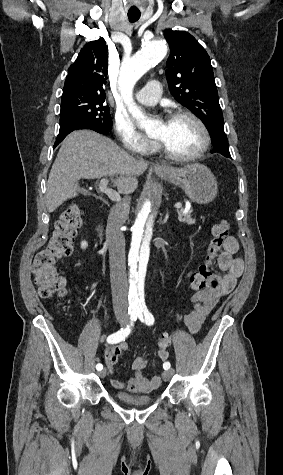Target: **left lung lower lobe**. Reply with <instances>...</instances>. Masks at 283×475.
Here are the masks:
<instances>
[{
  "mask_svg": "<svg viewBox=\"0 0 283 475\" xmlns=\"http://www.w3.org/2000/svg\"><path fill=\"white\" fill-rule=\"evenodd\" d=\"M210 136L213 145V150L211 152L221 154L226 158H231L230 152L228 150V139L226 134H210Z\"/></svg>",
  "mask_w": 283,
  "mask_h": 475,
  "instance_id": "1",
  "label": "left lung lower lobe"
}]
</instances>
